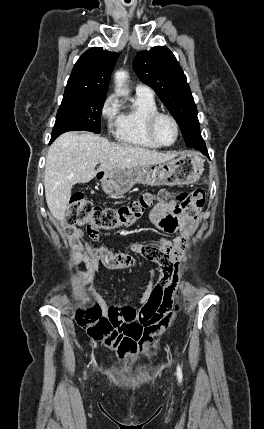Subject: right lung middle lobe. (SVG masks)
<instances>
[{
	"instance_id": "dd1d6c3e",
	"label": "right lung middle lobe",
	"mask_w": 264,
	"mask_h": 429,
	"mask_svg": "<svg viewBox=\"0 0 264 429\" xmlns=\"http://www.w3.org/2000/svg\"><path fill=\"white\" fill-rule=\"evenodd\" d=\"M106 96L64 95L58 109L51 142L72 130L100 133V116Z\"/></svg>"
}]
</instances>
